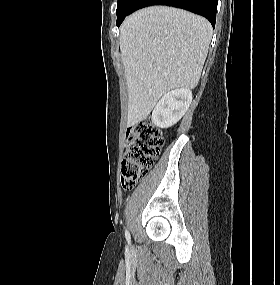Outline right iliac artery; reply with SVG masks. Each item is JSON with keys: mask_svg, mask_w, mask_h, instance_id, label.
<instances>
[{"mask_svg": "<svg viewBox=\"0 0 280 285\" xmlns=\"http://www.w3.org/2000/svg\"><path fill=\"white\" fill-rule=\"evenodd\" d=\"M125 235H126V239L128 240V242L130 241V234L129 232L126 230L125 232Z\"/></svg>", "mask_w": 280, "mask_h": 285, "instance_id": "right-iliac-artery-1", "label": "right iliac artery"}]
</instances>
